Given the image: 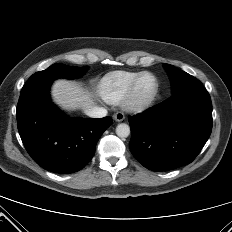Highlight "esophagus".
Here are the masks:
<instances>
[{
	"mask_svg": "<svg viewBox=\"0 0 232 232\" xmlns=\"http://www.w3.org/2000/svg\"><path fill=\"white\" fill-rule=\"evenodd\" d=\"M113 118L115 119V121L121 122L125 119V116L122 112H117L113 115Z\"/></svg>",
	"mask_w": 232,
	"mask_h": 232,
	"instance_id": "1",
	"label": "esophagus"
}]
</instances>
